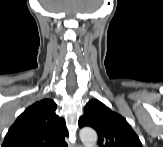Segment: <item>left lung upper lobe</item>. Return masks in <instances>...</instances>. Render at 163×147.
<instances>
[{"label": "left lung upper lobe", "mask_w": 163, "mask_h": 147, "mask_svg": "<svg viewBox=\"0 0 163 147\" xmlns=\"http://www.w3.org/2000/svg\"><path fill=\"white\" fill-rule=\"evenodd\" d=\"M80 117L79 126H90L97 131L101 147H142L137 134L126 119L111 111L99 100H90Z\"/></svg>", "instance_id": "1"}]
</instances>
